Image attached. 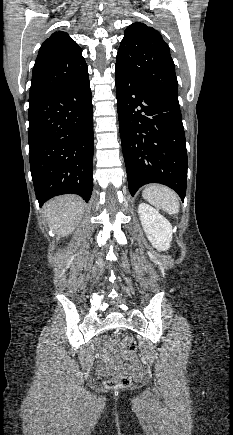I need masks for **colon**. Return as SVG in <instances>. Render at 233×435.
<instances>
[{"mask_svg":"<svg viewBox=\"0 0 233 435\" xmlns=\"http://www.w3.org/2000/svg\"><path fill=\"white\" fill-rule=\"evenodd\" d=\"M112 346L123 353H132L135 351L136 345L131 337L124 336L119 340H114ZM132 377L130 374L123 373L115 377L108 378L105 385L111 389H124L130 385Z\"/></svg>","mask_w":233,"mask_h":435,"instance_id":"5ec220e1","label":"colon"}]
</instances>
